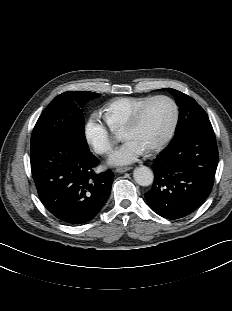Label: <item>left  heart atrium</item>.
Instances as JSON below:
<instances>
[{"label":"left heart atrium","instance_id":"1","mask_svg":"<svg viewBox=\"0 0 232 311\" xmlns=\"http://www.w3.org/2000/svg\"><path fill=\"white\" fill-rule=\"evenodd\" d=\"M146 149L136 140H127L117 151H115L109 162L113 165H125L135 162Z\"/></svg>","mask_w":232,"mask_h":311}]
</instances>
